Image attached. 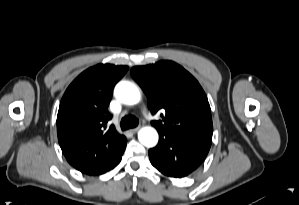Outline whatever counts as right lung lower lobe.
I'll use <instances>...</instances> for the list:
<instances>
[{
  "instance_id": "1",
  "label": "right lung lower lobe",
  "mask_w": 299,
  "mask_h": 205,
  "mask_svg": "<svg viewBox=\"0 0 299 205\" xmlns=\"http://www.w3.org/2000/svg\"><path fill=\"white\" fill-rule=\"evenodd\" d=\"M126 143H127V141H126ZM125 147H126V144H125ZM125 147H124L123 150L120 152V154L115 158V160L112 161V162L110 163V165H108V166H107L102 172H100L99 174H103V173H105V172H107V171L113 169L114 167H116V166L119 164V162L121 161V157H122V154H123V152H124ZM97 175H98V174H97Z\"/></svg>"
}]
</instances>
